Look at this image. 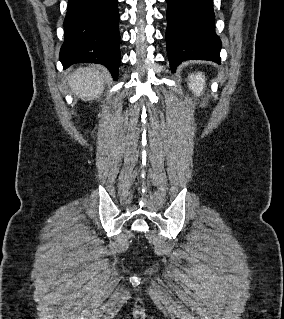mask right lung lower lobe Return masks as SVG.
<instances>
[{"mask_svg":"<svg viewBox=\"0 0 284 319\" xmlns=\"http://www.w3.org/2000/svg\"><path fill=\"white\" fill-rule=\"evenodd\" d=\"M118 0H69L60 61L106 66L114 80L121 61Z\"/></svg>","mask_w":284,"mask_h":319,"instance_id":"right-lung-lower-lobe-1","label":"right lung lower lobe"}]
</instances>
